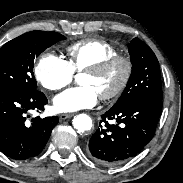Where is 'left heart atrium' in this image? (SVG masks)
Returning <instances> with one entry per match:
<instances>
[{"label":"left heart atrium","instance_id":"left-heart-atrium-1","mask_svg":"<svg viewBox=\"0 0 183 183\" xmlns=\"http://www.w3.org/2000/svg\"><path fill=\"white\" fill-rule=\"evenodd\" d=\"M99 99L98 93L90 86L71 88L54 98L58 112H74L93 107Z\"/></svg>","mask_w":183,"mask_h":183}]
</instances>
